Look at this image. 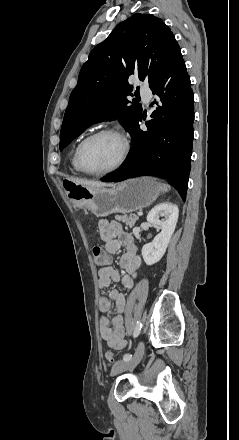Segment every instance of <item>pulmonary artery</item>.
<instances>
[{
    "label": "pulmonary artery",
    "instance_id": "obj_1",
    "mask_svg": "<svg viewBox=\"0 0 239 440\" xmlns=\"http://www.w3.org/2000/svg\"><path fill=\"white\" fill-rule=\"evenodd\" d=\"M144 97H145L146 99H149V98L151 97V93H150V92H147V93L144 95Z\"/></svg>",
    "mask_w": 239,
    "mask_h": 440
}]
</instances>
